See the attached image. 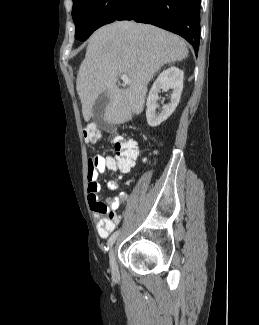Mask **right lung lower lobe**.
Instances as JSON below:
<instances>
[{
    "mask_svg": "<svg viewBox=\"0 0 259 325\" xmlns=\"http://www.w3.org/2000/svg\"><path fill=\"white\" fill-rule=\"evenodd\" d=\"M200 3L201 0H126L115 20H135L179 34L197 52Z\"/></svg>",
    "mask_w": 259,
    "mask_h": 325,
    "instance_id": "obj_1",
    "label": "right lung lower lobe"
}]
</instances>
